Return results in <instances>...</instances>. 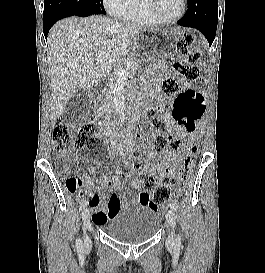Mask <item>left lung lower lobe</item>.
<instances>
[{"instance_id": "obj_1", "label": "left lung lower lobe", "mask_w": 265, "mask_h": 273, "mask_svg": "<svg viewBox=\"0 0 265 273\" xmlns=\"http://www.w3.org/2000/svg\"><path fill=\"white\" fill-rule=\"evenodd\" d=\"M188 10L185 16L178 22L180 26L198 29L207 38L209 45L212 44L217 29L218 0H188Z\"/></svg>"}]
</instances>
